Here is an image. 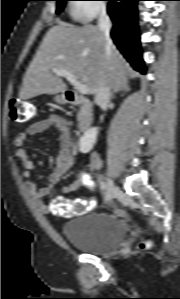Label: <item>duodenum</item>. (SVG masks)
Instances as JSON below:
<instances>
[{"instance_id":"duodenum-1","label":"duodenum","mask_w":180,"mask_h":299,"mask_svg":"<svg viewBox=\"0 0 180 299\" xmlns=\"http://www.w3.org/2000/svg\"><path fill=\"white\" fill-rule=\"evenodd\" d=\"M65 97L70 104L80 106L81 117L78 126L82 131L86 132L92 124L93 109L90 100L87 97L79 95L71 90L66 91Z\"/></svg>"}]
</instances>
